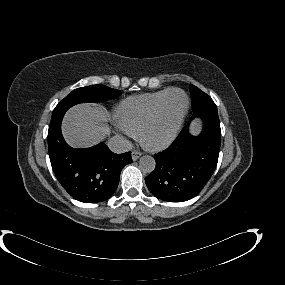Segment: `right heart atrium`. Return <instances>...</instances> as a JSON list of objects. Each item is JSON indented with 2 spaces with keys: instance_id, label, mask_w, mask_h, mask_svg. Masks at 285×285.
<instances>
[{
  "instance_id": "obj_1",
  "label": "right heart atrium",
  "mask_w": 285,
  "mask_h": 285,
  "mask_svg": "<svg viewBox=\"0 0 285 285\" xmlns=\"http://www.w3.org/2000/svg\"><path fill=\"white\" fill-rule=\"evenodd\" d=\"M116 131H117V133L122 134L126 137H129V138L135 137V134L130 129H128L125 125H123L121 123L117 124Z\"/></svg>"
}]
</instances>
